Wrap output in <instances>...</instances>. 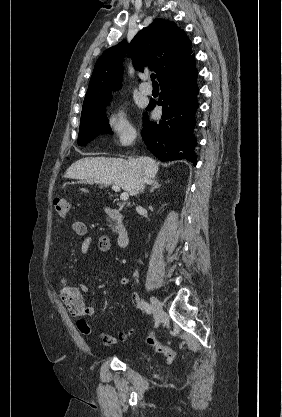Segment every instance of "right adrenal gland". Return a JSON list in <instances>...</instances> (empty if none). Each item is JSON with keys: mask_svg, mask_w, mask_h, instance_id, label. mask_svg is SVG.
I'll return each mask as SVG.
<instances>
[{"mask_svg": "<svg viewBox=\"0 0 282 417\" xmlns=\"http://www.w3.org/2000/svg\"><path fill=\"white\" fill-rule=\"evenodd\" d=\"M148 184H151V190H149V192H154L155 188H159V186H161L157 180V176L156 178H152Z\"/></svg>", "mask_w": 282, "mask_h": 417, "instance_id": "right-adrenal-gland-1", "label": "right adrenal gland"}]
</instances>
